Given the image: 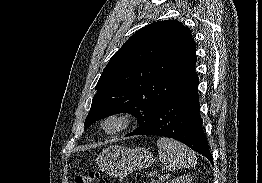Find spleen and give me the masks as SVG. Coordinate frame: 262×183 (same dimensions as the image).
<instances>
[{"instance_id":"spleen-1","label":"spleen","mask_w":262,"mask_h":183,"mask_svg":"<svg viewBox=\"0 0 262 183\" xmlns=\"http://www.w3.org/2000/svg\"><path fill=\"white\" fill-rule=\"evenodd\" d=\"M160 161L169 171L195 166L196 156L187 146L170 138L157 141Z\"/></svg>"}]
</instances>
